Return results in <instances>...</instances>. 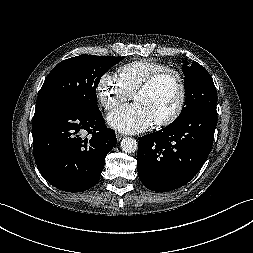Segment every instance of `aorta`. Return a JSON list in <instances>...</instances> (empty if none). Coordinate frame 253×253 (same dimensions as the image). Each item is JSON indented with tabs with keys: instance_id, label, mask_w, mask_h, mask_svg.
I'll list each match as a JSON object with an SVG mask.
<instances>
[{
	"instance_id": "762f6f07",
	"label": "aorta",
	"mask_w": 253,
	"mask_h": 253,
	"mask_svg": "<svg viewBox=\"0 0 253 253\" xmlns=\"http://www.w3.org/2000/svg\"><path fill=\"white\" fill-rule=\"evenodd\" d=\"M121 149L125 153H133L137 150V141L131 137L124 138L121 141Z\"/></svg>"
}]
</instances>
